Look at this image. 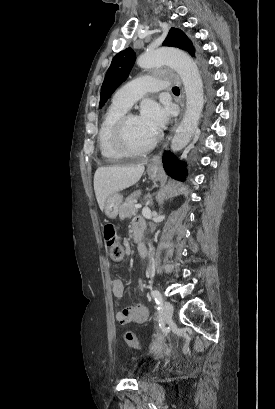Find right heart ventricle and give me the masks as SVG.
<instances>
[{
	"label": "right heart ventricle",
	"mask_w": 275,
	"mask_h": 409,
	"mask_svg": "<svg viewBox=\"0 0 275 409\" xmlns=\"http://www.w3.org/2000/svg\"><path fill=\"white\" fill-rule=\"evenodd\" d=\"M128 110L112 103L107 109L99 127L97 142L102 157H124L118 151L114 142L115 127L117 122Z\"/></svg>",
	"instance_id": "1"
}]
</instances>
